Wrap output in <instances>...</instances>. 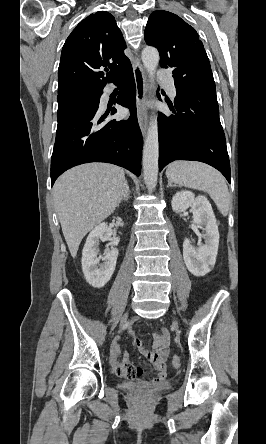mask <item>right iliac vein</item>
Returning <instances> with one entry per match:
<instances>
[{"label": "right iliac vein", "mask_w": 266, "mask_h": 444, "mask_svg": "<svg viewBox=\"0 0 266 444\" xmlns=\"http://www.w3.org/2000/svg\"><path fill=\"white\" fill-rule=\"evenodd\" d=\"M126 318H127V315H125V316L123 317V319H122V323L126 320Z\"/></svg>", "instance_id": "1"}]
</instances>
